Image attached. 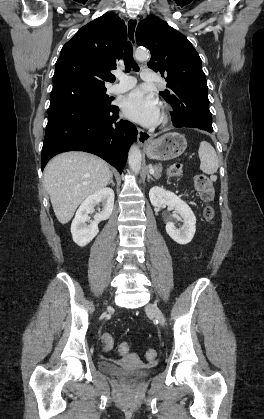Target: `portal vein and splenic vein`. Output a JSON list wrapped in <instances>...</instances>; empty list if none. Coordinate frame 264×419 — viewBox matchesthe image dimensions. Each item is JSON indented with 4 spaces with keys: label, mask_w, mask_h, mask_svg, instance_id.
Masks as SVG:
<instances>
[{
    "label": "portal vein and splenic vein",
    "mask_w": 264,
    "mask_h": 419,
    "mask_svg": "<svg viewBox=\"0 0 264 419\" xmlns=\"http://www.w3.org/2000/svg\"><path fill=\"white\" fill-rule=\"evenodd\" d=\"M150 173H154V169L153 168H150Z\"/></svg>",
    "instance_id": "1"
}]
</instances>
